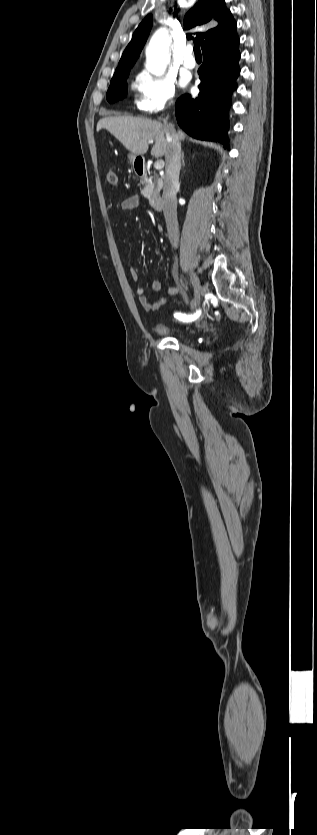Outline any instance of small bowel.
<instances>
[{"instance_id":"small-bowel-1","label":"small bowel","mask_w":317,"mask_h":835,"mask_svg":"<svg viewBox=\"0 0 317 835\" xmlns=\"http://www.w3.org/2000/svg\"><path fill=\"white\" fill-rule=\"evenodd\" d=\"M140 201H141V199H140L139 196H137V195L130 196V197L124 199L121 202V208L124 211L133 210L139 205ZM129 272H130L131 279L134 282H137L139 280L138 271L135 268L131 267ZM161 288H162V285H161V282L159 280L155 279L151 282V289L153 291H159V290H161ZM177 293H178V288L176 286L172 285V286L167 287V289H166V294L168 296H173V295H176ZM136 294L139 298V302L142 305V307L145 310H148V311H154L166 302L165 297L160 298L159 300H157L155 302H151L148 299V297L146 296V291H145V288H143V287H138L136 289ZM196 306H197V304H194V301H192L191 302V308L195 309Z\"/></svg>"}]
</instances>
